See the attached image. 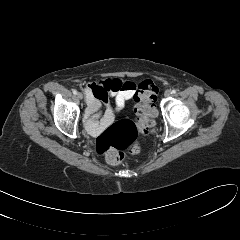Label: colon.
<instances>
[{
    "instance_id": "5ec220e1",
    "label": "colon",
    "mask_w": 240,
    "mask_h": 240,
    "mask_svg": "<svg viewBox=\"0 0 240 240\" xmlns=\"http://www.w3.org/2000/svg\"><path fill=\"white\" fill-rule=\"evenodd\" d=\"M158 88L152 80H144L136 86L134 99L136 120H121L107 128L96 139V149L109 164L117 165L124 159V152H139L138 137L153 126L157 114L155 102Z\"/></svg>"
}]
</instances>
